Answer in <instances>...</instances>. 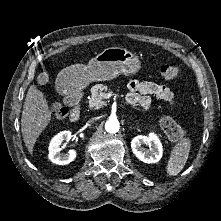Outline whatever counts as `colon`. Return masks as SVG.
I'll return each mask as SVG.
<instances>
[{
	"label": "colon",
	"mask_w": 221,
	"mask_h": 221,
	"mask_svg": "<svg viewBox=\"0 0 221 221\" xmlns=\"http://www.w3.org/2000/svg\"><path fill=\"white\" fill-rule=\"evenodd\" d=\"M164 80L173 82L181 75V68L177 64L164 65L160 70ZM50 115L54 122H61L68 113V108L55 102L49 105ZM161 127L167 138L171 141H178L187 135V130L177 124L171 117L163 116L161 118Z\"/></svg>",
	"instance_id": "obj_1"
}]
</instances>
